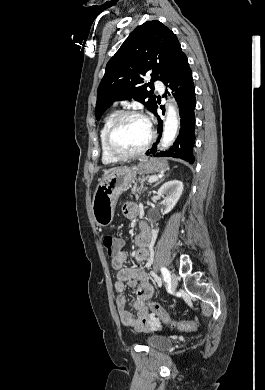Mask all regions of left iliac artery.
<instances>
[{
	"mask_svg": "<svg viewBox=\"0 0 265 390\" xmlns=\"http://www.w3.org/2000/svg\"><path fill=\"white\" fill-rule=\"evenodd\" d=\"M160 270H161V273L163 275L164 281H166V282L170 281V273H169L168 269L165 267H161ZM157 283L159 286L161 285V281H157Z\"/></svg>",
	"mask_w": 265,
	"mask_h": 390,
	"instance_id": "44dca946",
	"label": "left iliac artery"
}]
</instances>
